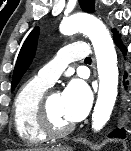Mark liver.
<instances>
[{
    "label": "liver",
    "mask_w": 131,
    "mask_h": 151,
    "mask_svg": "<svg viewBox=\"0 0 131 151\" xmlns=\"http://www.w3.org/2000/svg\"><path fill=\"white\" fill-rule=\"evenodd\" d=\"M34 150H40V151H57L58 148H50V149H48V148H40V149H34Z\"/></svg>",
    "instance_id": "6515ba94"
}]
</instances>
